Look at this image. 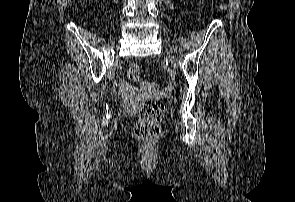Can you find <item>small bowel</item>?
<instances>
[{
	"label": "small bowel",
	"mask_w": 295,
	"mask_h": 202,
	"mask_svg": "<svg viewBox=\"0 0 295 202\" xmlns=\"http://www.w3.org/2000/svg\"><path fill=\"white\" fill-rule=\"evenodd\" d=\"M119 98H126L125 107H137V103H147V98H152V93H147L144 98L140 85H131V81H117Z\"/></svg>",
	"instance_id": "c3829d8e"
}]
</instances>
